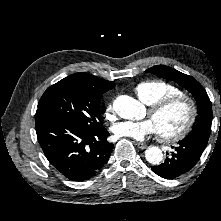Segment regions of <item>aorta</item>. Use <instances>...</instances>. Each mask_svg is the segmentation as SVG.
<instances>
[{
	"label": "aorta",
	"instance_id": "obj_1",
	"mask_svg": "<svg viewBox=\"0 0 221 221\" xmlns=\"http://www.w3.org/2000/svg\"><path fill=\"white\" fill-rule=\"evenodd\" d=\"M113 107L115 112L121 118L129 120H139L143 117V105L130 96L121 95L117 97V99L114 101ZM145 158L149 163L157 165L163 159L162 150L157 146H151L146 149Z\"/></svg>",
	"mask_w": 221,
	"mask_h": 221
}]
</instances>
